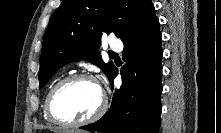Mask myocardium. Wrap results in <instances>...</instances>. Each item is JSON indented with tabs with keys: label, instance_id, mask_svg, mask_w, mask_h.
<instances>
[{
	"label": "myocardium",
	"instance_id": "obj_1",
	"mask_svg": "<svg viewBox=\"0 0 221 133\" xmlns=\"http://www.w3.org/2000/svg\"><path fill=\"white\" fill-rule=\"evenodd\" d=\"M76 80H87V81H91L94 84H96L100 91H101V100L100 103L97 107V109L87 118L79 120V121H62L59 120L57 117H55L53 111H52V107H51V102H52V98L55 94V92L62 87L63 85L72 82V81H76ZM45 113L47 115V118L50 122L61 126V127H80V126H84L87 124H90L96 120H98L106 111L107 108V97L105 95V93L103 92L102 88L100 87L97 79L87 73H75V74H71L68 75L64 78H62L61 80H59L58 82H56L51 89L49 90L46 99H45Z\"/></svg>",
	"mask_w": 221,
	"mask_h": 133
}]
</instances>
